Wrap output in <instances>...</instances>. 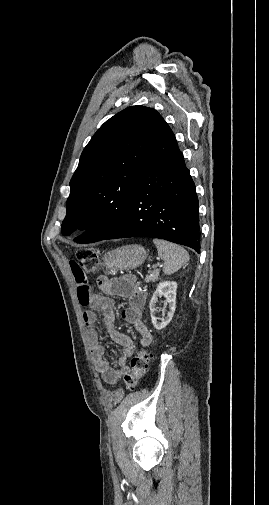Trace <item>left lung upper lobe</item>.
Segmentation results:
<instances>
[{
	"label": "left lung upper lobe",
	"mask_w": 269,
	"mask_h": 505,
	"mask_svg": "<svg viewBox=\"0 0 269 505\" xmlns=\"http://www.w3.org/2000/svg\"><path fill=\"white\" fill-rule=\"evenodd\" d=\"M163 122L156 110L131 106L98 129L70 181L63 235L86 230L75 241L90 243L117 227Z\"/></svg>",
	"instance_id": "left-lung-upper-lobe-1"
}]
</instances>
